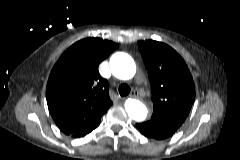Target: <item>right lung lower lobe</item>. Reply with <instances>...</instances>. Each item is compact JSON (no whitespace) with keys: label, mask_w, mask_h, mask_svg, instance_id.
Instances as JSON below:
<instances>
[{"label":"right lung lower lobe","mask_w":240,"mask_h":160,"mask_svg":"<svg viewBox=\"0 0 240 160\" xmlns=\"http://www.w3.org/2000/svg\"><path fill=\"white\" fill-rule=\"evenodd\" d=\"M99 124H100V121H97L93 124H90L86 127H83L81 129L75 131L74 133L71 134V136L75 137V138L83 137L86 134L90 133L92 130H94L96 127H98Z\"/></svg>","instance_id":"right-lung-lower-lobe-1"}]
</instances>
